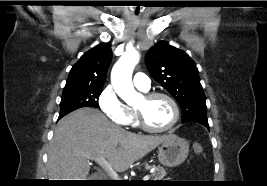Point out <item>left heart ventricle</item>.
<instances>
[{"instance_id": "obj_1", "label": "left heart ventricle", "mask_w": 267, "mask_h": 186, "mask_svg": "<svg viewBox=\"0 0 267 186\" xmlns=\"http://www.w3.org/2000/svg\"><path fill=\"white\" fill-rule=\"evenodd\" d=\"M137 108L143 110L147 124L153 128L165 127L173 118L172 106L170 102L163 97H157L150 101H145L143 98Z\"/></svg>"}]
</instances>
